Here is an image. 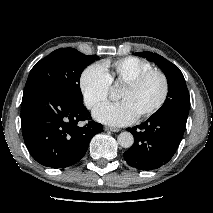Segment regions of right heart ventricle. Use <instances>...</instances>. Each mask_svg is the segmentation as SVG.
Wrapping results in <instances>:
<instances>
[{
    "label": "right heart ventricle",
    "mask_w": 213,
    "mask_h": 213,
    "mask_svg": "<svg viewBox=\"0 0 213 213\" xmlns=\"http://www.w3.org/2000/svg\"><path fill=\"white\" fill-rule=\"evenodd\" d=\"M102 67L106 71L111 84L125 83L138 74L153 69L151 63L134 56L105 62Z\"/></svg>",
    "instance_id": "right-heart-ventricle-1"
}]
</instances>
